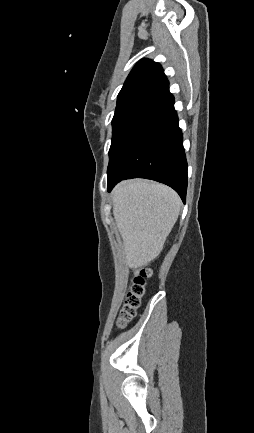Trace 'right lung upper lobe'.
<instances>
[{"mask_svg": "<svg viewBox=\"0 0 254 433\" xmlns=\"http://www.w3.org/2000/svg\"><path fill=\"white\" fill-rule=\"evenodd\" d=\"M169 85L159 63L149 59L139 61L127 77L118 94L117 105L145 104Z\"/></svg>", "mask_w": 254, "mask_h": 433, "instance_id": "obj_1", "label": "right lung upper lobe"}]
</instances>
